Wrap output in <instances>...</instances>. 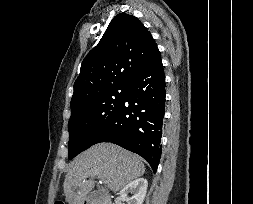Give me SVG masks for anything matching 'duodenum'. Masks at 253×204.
Returning a JSON list of instances; mask_svg holds the SVG:
<instances>
[{
  "instance_id": "duodenum-1",
  "label": "duodenum",
  "mask_w": 253,
  "mask_h": 204,
  "mask_svg": "<svg viewBox=\"0 0 253 204\" xmlns=\"http://www.w3.org/2000/svg\"><path fill=\"white\" fill-rule=\"evenodd\" d=\"M84 204H112V198L111 195L108 193L102 194L98 200H86Z\"/></svg>"
}]
</instances>
